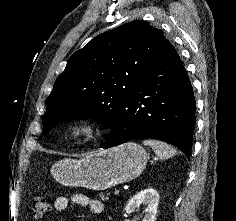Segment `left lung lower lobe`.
<instances>
[{
	"label": "left lung lower lobe",
	"mask_w": 236,
	"mask_h": 221,
	"mask_svg": "<svg viewBox=\"0 0 236 221\" xmlns=\"http://www.w3.org/2000/svg\"><path fill=\"white\" fill-rule=\"evenodd\" d=\"M195 109L191 82L167 40L122 106L102 148L153 138L176 146L189 158Z\"/></svg>",
	"instance_id": "1"
}]
</instances>
